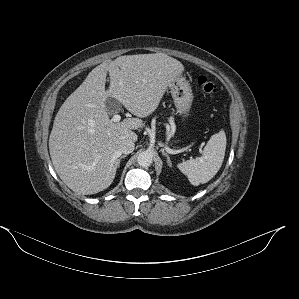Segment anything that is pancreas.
<instances>
[{
  "instance_id": "pancreas-1",
  "label": "pancreas",
  "mask_w": 299,
  "mask_h": 299,
  "mask_svg": "<svg viewBox=\"0 0 299 299\" xmlns=\"http://www.w3.org/2000/svg\"><path fill=\"white\" fill-rule=\"evenodd\" d=\"M171 127H173V121L171 120Z\"/></svg>"
}]
</instances>
